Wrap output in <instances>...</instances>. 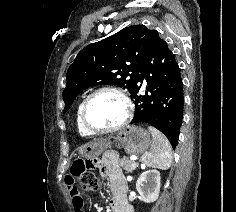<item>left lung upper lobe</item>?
Instances as JSON below:
<instances>
[{
  "mask_svg": "<svg viewBox=\"0 0 236 212\" xmlns=\"http://www.w3.org/2000/svg\"><path fill=\"white\" fill-rule=\"evenodd\" d=\"M152 31L145 25L129 26L82 49L67 71L63 112L89 86L117 85L132 94Z\"/></svg>",
  "mask_w": 236,
  "mask_h": 212,
  "instance_id": "obj_1",
  "label": "left lung upper lobe"
}]
</instances>
